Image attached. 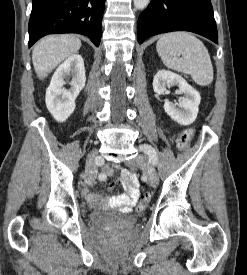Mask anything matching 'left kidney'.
<instances>
[{
  "label": "left kidney",
  "mask_w": 247,
  "mask_h": 275,
  "mask_svg": "<svg viewBox=\"0 0 247 275\" xmlns=\"http://www.w3.org/2000/svg\"><path fill=\"white\" fill-rule=\"evenodd\" d=\"M172 85H177L179 93L185 96L177 104L165 101L164 110L180 125H190L195 121L198 114V106L201 101L200 94L182 76L171 71L160 70L154 76L153 89L157 94L165 95L167 93L166 87Z\"/></svg>",
  "instance_id": "obj_1"
}]
</instances>
